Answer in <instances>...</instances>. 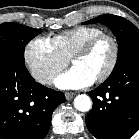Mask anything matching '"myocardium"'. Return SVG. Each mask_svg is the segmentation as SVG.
Here are the masks:
<instances>
[{
  "label": "myocardium",
  "instance_id": "f54148a6",
  "mask_svg": "<svg viewBox=\"0 0 139 139\" xmlns=\"http://www.w3.org/2000/svg\"><path fill=\"white\" fill-rule=\"evenodd\" d=\"M102 40H108L110 42V44L112 46V56H111V60L108 64V66L106 67V69L96 79L97 82H103V81L107 80L112 75V73L114 72V70L118 64L120 49H119V44H118L117 39L111 34L102 32V33L90 38L89 40H87L71 56V63L73 64L74 60L77 57H80L82 55L89 53Z\"/></svg>",
  "mask_w": 139,
  "mask_h": 139
}]
</instances>
